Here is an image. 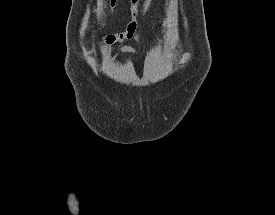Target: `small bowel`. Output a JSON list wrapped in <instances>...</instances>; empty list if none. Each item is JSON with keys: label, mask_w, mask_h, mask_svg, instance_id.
Instances as JSON below:
<instances>
[{"label": "small bowel", "mask_w": 275, "mask_h": 215, "mask_svg": "<svg viewBox=\"0 0 275 215\" xmlns=\"http://www.w3.org/2000/svg\"><path fill=\"white\" fill-rule=\"evenodd\" d=\"M140 25H141V20H134L127 26L124 32L119 33L117 35L109 34L106 37H104L103 43H102L104 50H107L110 47V45L116 42L117 40H125V39H135L143 49H148V46L146 45V43L144 42L141 36ZM117 51L123 54H131V55L138 54V51L136 50V48L130 45H124L120 47Z\"/></svg>", "instance_id": "obj_1"}]
</instances>
